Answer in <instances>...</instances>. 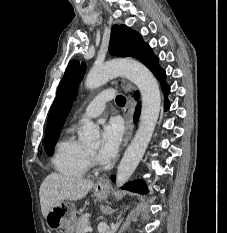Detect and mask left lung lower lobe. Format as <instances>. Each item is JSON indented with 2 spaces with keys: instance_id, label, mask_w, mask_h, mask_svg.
<instances>
[{
  "instance_id": "1",
  "label": "left lung lower lobe",
  "mask_w": 227,
  "mask_h": 233,
  "mask_svg": "<svg viewBox=\"0 0 227 233\" xmlns=\"http://www.w3.org/2000/svg\"><path fill=\"white\" fill-rule=\"evenodd\" d=\"M155 76L158 78V80L160 81L161 83V88H162V91L163 93L165 94V104H164V108L165 110H168L169 109V103L167 101V95L169 94L170 92V88L169 86L166 84V81H165V78H166V73L163 69H160L156 74ZM138 96H139V92L136 91L135 93V98L136 100L138 99ZM113 181H115V177L113 176L112 177ZM123 189H126V190H129V191H132V192H137V193H141V194H147L148 193V190L146 188V185L143 181L141 180H136V181H133V182H130V183H127L125 184L123 187Z\"/></svg>"
}]
</instances>
